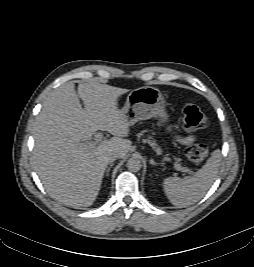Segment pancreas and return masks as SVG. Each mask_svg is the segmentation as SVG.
I'll list each match as a JSON object with an SVG mask.
<instances>
[{"instance_id":"cf45deb5","label":"pancreas","mask_w":254,"mask_h":267,"mask_svg":"<svg viewBox=\"0 0 254 267\" xmlns=\"http://www.w3.org/2000/svg\"><path fill=\"white\" fill-rule=\"evenodd\" d=\"M152 145H155L154 141L152 142ZM157 150H159V148H157Z\"/></svg>"}]
</instances>
